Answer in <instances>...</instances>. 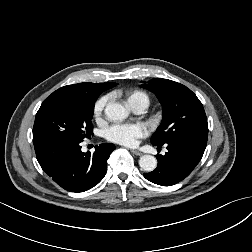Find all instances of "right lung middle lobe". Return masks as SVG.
<instances>
[{
  "mask_svg": "<svg viewBox=\"0 0 252 252\" xmlns=\"http://www.w3.org/2000/svg\"><path fill=\"white\" fill-rule=\"evenodd\" d=\"M96 99L52 93L41 104L33 127V142H82L93 134L92 117Z\"/></svg>",
  "mask_w": 252,
  "mask_h": 252,
  "instance_id": "dd1d6c3e",
  "label": "right lung middle lobe"
}]
</instances>
